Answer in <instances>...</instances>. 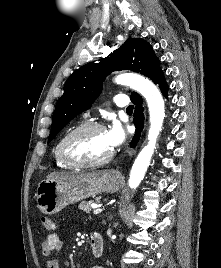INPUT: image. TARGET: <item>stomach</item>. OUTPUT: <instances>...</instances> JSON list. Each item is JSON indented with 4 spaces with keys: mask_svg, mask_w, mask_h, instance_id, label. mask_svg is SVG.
<instances>
[{
    "mask_svg": "<svg viewBox=\"0 0 221 268\" xmlns=\"http://www.w3.org/2000/svg\"><path fill=\"white\" fill-rule=\"evenodd\" d=\"M121 183V176L111 171L93 179L74 182L44 180L36 189L37 208L46 215H53L74 202L94 197L102 192H116Z\"/></svg>",
    "mask_w": 221,
    "mask_h": 268,
    "instance_id": "obj_1",
    "label": "stomach"
}]
</instances>
